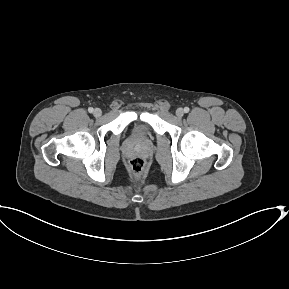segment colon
I'll return each mask as SVG.
<instances>
[{
    "label": "colon",
    "instance_id": "colon-1",
    "mask_svg": "<svg viewBox=\"0 0 289 289\" xmlns=\"http://www.w3.org/2000/svg\"><path fill=\"white\" fill-rule=\"evenodd\" d=\"M129 167H130L131 172L135 176H139L142 174V172L145 169V160L142 159L141 157L132 158L129 161Z\"/></svg>",
    "mask_w": 289,
    "mask_h": 289
}]
</instances>
